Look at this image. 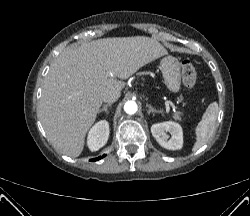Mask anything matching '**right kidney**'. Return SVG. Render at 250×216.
<instances>
[{
  "label": "right kidney",
  "instance_id": "1",
  "mask_svg": "<svg viewBox=\"0 0 250 216\" xmlns=\"http://www.w3.org/2000/svg\"><path fill=\"white\" fill-rule=\"evenodd\" d=\"M109 123L106 120L97 122L89 131L87 145L91 151H97L103 147L109 137Z\"/></svg>",
  "mask_w": 250,
  "mask_h": 216
}]
</instances>
